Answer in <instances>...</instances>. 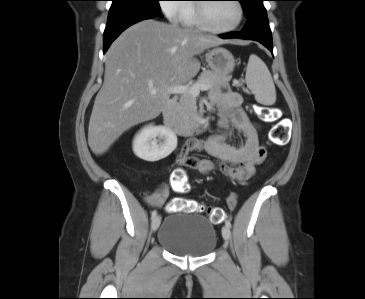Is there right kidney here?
Masks as SVG:
<instances>
[{
	"mask_svg": "<svg viewBox=\"0 0 365 299\" xmlns=\"http://www.w3.org/2000/svg\"><path fill=\"white\" fill-rule=\"evenodd\" d=\"M177 146V136L165 126L149 125L134 138V154L145 161L155 162L169 156Z\"/></svg>",
	"mask_w": 365,
	"mask_h": 299,
	"instance_id": "ca27d5eb",
	"label": "right kidney"
}]
</instances>
